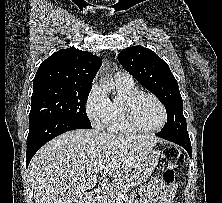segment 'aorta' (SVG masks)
Instances as JSON below:
<instances>
[{
	"mask_svg": "<svg viewBox=\"0 0 222 203\" xmlns=\"http://www.w3.org/2000/svg\"><path fill=\"white\" fill-rule=\"evenodd\" d=\"M102 88L106 92H112L115 90V84L112 81H107L102 83Z\"/></svg>",
	"mask_w": 222,
	"mask_h": 203,
	"instance_id": "762f6f07",
	"label": "aorta"
}]
</instances>
